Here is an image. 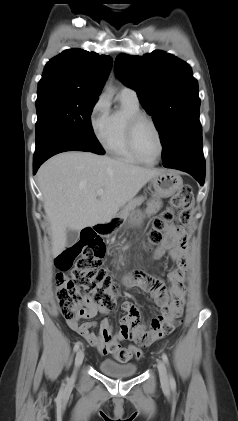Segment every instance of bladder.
Returning a JSON list of instances; mask_svg holds the SVG:
<instances>
[{
  "label": "bladder",
  "instance_id": "1",
  "mask_svg": "<svg viewBox=\"0 0 238 421\" xmlns=\"http://www.w3.org/2000/svg\"><path fill=\"white\" fill-rule=\"evenodd\" d=\"M98 367L102 373L114 378L132 377L137 373L138 370L135 364H121L112 359L101 360L98 364Z\"/></svg>",
  "mask_w": 238,
  "mask_h": 421
}]
</instances>
